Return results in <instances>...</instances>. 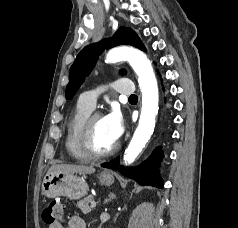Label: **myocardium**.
<instances>
[{
	"label": "myocardium",
	"mask_w": 238,
	"mask_h": 228,
	"mask_svg": "<svg viewBox=\"0 0 238 228\" xmlns=\"http://www.w3.org/2000/svg\"><path fill=\"white\" fill-rule=\"evenodd\" d=\"M103 114L99 111L91 112L85 119L80 136V146L83 152L91 159H102L112 156L119 149V143L116 142L107 151H97L93 146V129L95 121L102 118Z\"/></svg>",
	"instance_id": "myocardium-1"
}]
</instances>
